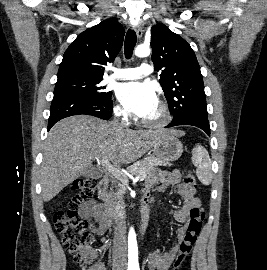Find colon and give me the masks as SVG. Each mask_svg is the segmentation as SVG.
<instances>
[{
    "label": "colon",
    "mask_w": 267,
    "mask_h": 270,
    "mask_svg": "<svg viewBox=\"0 0 267 270\" xmlns=\"http://www.w3.org/2000/svg\"><path fill=\"white\" fill-rule=\"evenodd\" d=\"M184 183L192 188L197 187L195 175L188 171L184 176ZM96 188L92 178L80 179L74 182L67 200V208L59 209L54 214V226L59 234L66 251L73 257L75 263L86 267L94 257L92 248V233L88 229L87 222L79 217L77 208L81 203L89 201ZM204 212L196 210L192 213L186 234L179 246L174 260V269L180 270L185 259L189 255L202 228Z\"/></svg>",
    "instance_id": "1"
}]
</instances>
